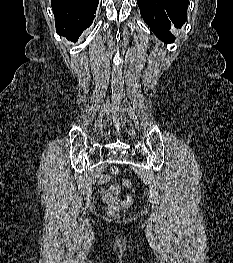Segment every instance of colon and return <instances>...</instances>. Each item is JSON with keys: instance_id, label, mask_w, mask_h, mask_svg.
I'll return each instance as SVG.
<instances>
[{"instance_id": "obj_1", "label": "colon", "mask_w": 233, "mask_h": 263, "mask_svg": "<svg viewBox=\"0 0 233 263\" xmlns=\"http://www.w3.org/2000/svg\"><path fill=\"white\" fill-rule=\"evenodd\" d=\"M111 173L116 176L118 174V169L116 167H113L111 169ZM123 185L129 189L132 190L131 183L129 180L123 181ZM132 203L131 196L128 195L126 198L122 201H120L118 204H112L107 207V213L112 217H117L120 210H123L127 207H129Z\"/></svg>"}]
</instances>
